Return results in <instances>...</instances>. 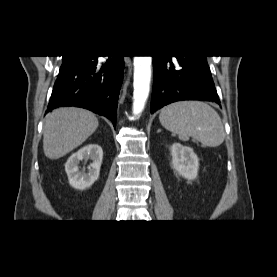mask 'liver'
Wrapping results in <instances>:
<instances>
[{"label": "liver", "mask_w": 277, "mask_h": 277, "mask_svg": "<svg viewBox=\"0 0 277 277\" xmlns=\"http://www.w3.org/2000/svg\"><path fill=\"white\" fill-rule=\"evenodd\" d=\"M97 117L90 111L67 107L48 114L43 127L46 157L58 159L85 142L97 129Z\"/></svg>", "instance_id": "liver-1"}]
</instances>
